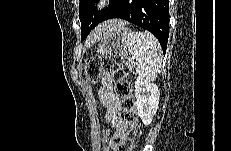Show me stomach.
I'll return each instance as SVG.
<instances>
[{
	"label": "stomach",
	"mask_w": 231,
	"mask_h": 151,
	"mask_svg": "<svg viewBox=\"0 0 231 151\" xmlns=\"http://www.w3.org/2000/svg\"><path fill=\"white\" fill-rule=\"evenodd\" d=\"M130 31L126 28L108 31L102 38L97 52L108 57H121L127 52L126 36Z\"/></svg>",
	"instance_id": "1"
}]
</instances>
